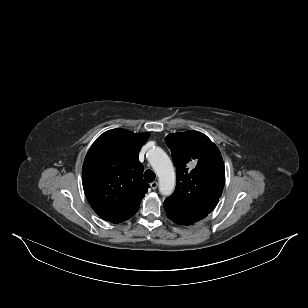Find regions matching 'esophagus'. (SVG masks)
Masks as SVG:
<instances>
[{"mask_svg":"<svg viewBox=\"0 0 308 308\" xmlns=\"http://www.w3.org/2000/svg\"><path fill=\"white\" fill-rule=\"evenodd\" d=\"M150 186H151V188H152L153 190H155V189H157V187H158V183H157L156 181H154V182H152V183L150 184Z\"/></svg>","mask_w":308,"mask_h":308,"instance_id":"obj_1","label":"esophagus"}]
</instances>
